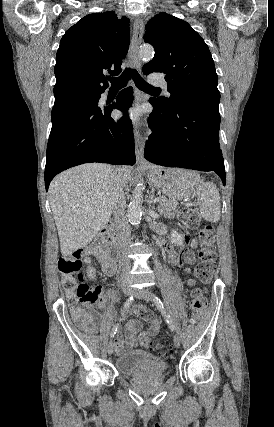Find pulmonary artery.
Wrapping results in <instances>:
<instances>
[{
    "label": "pulmonary artery",
    "mask_w": 274,
    "mask_h": 427,
    "mask_svg": "<svg viewBox=\"0 0 274 427\" xmlns=\"http://www.w3.org/2000/svg\"><path fill=\"white\" fill-rule=\"evenodd\" d=\"M163 82H164V79L161 76H156V77H150L149 78V83L150 84L161 85V84H163ZM163 87L165 89H167V86L165 84L163 85Z\"/></svg>",
    "instance_id": "pulmonary-artery-1"
}]
</instances>
